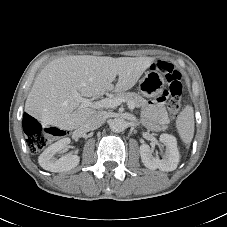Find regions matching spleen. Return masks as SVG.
Instances as JSON below:
<instances>
[{"label": "spleen", "mask_w": 227, "mask_h": 227, "mask_svg": "<svg viewBox=\"0 0 227 227\" xmlns=\"http://www.w3.org/2000/svg\"><path fill=\"white\" fill-rule=\"evenodd\" d=\"M176 127L181 140L190 144L194 136V110L190 105L179 113L176 120Z\"/></svg>", "instance_id": "3e777b00"}]
</instances>
